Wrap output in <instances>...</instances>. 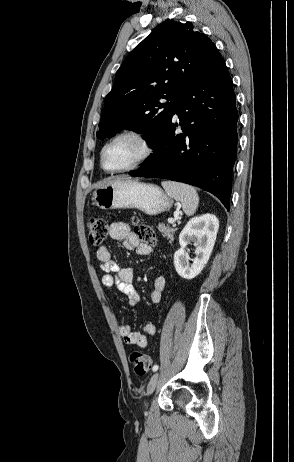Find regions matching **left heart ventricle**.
<instances>
[{
	"mask_svg": "<svg viewBox=\"0 0 294 462\" xmlns=\"http://www.w3.org/2000/svg\"><path fill=\"white\" fill-rule=\"evenodd\" d=\"M142 145L132 137H123L109 145L104 154L107 169H120L132 164L141 154Z\"/></svg>",
	"mask_w": 294,
	"mask_h": 462,
	"instance_id": "1",
	"label": "left heart ventricle"
}]
</instances>
